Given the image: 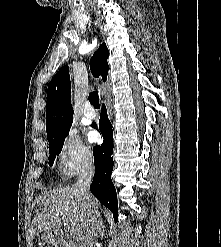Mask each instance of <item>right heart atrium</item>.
Segmentation results:
<instances>
[{"instance_id": "1", "label": "right heart atrium", "mask_w": 221, "mask_h": 247, "mask_svg": "<svg viewBox=\"0 0 221 247\" xmlns=\"http://www.w3.org/2000/svg\"><path fill=\"white\" fill-rule=\"evenodd\" d=\"M92 161L89 147L80 139L76 131H70L64 138L58 155V169L64 176L80 173L88 168Z\"/></svg>"}]
</instances>
